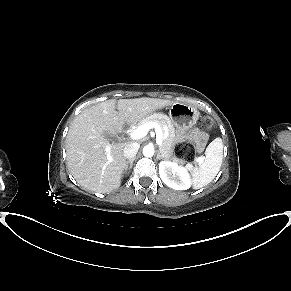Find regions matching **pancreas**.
<instances>
[{
    "instance_id": "1",
    "label": "pancreas",
    "mask_w": 291,
    "mask_h": 291,
    "mask_svg": "<svg viewBox=\"0 0 291 291\" xmlns=\"http://www.w3.org/2000/svg\"><path fill=\"white\" fill-rule=\"evenodd\" d=\"M148 122H155L162 129L167 127L168 135H167V137H164L163 142L160 145V151L166 159H171L174 162H177L179 164H184L185 161L178 159L175 156H172V148L171 147H172L174 140H175V129H174V126H173L171 120L169 119V117L162 115V114H157V113L151 114V115L141 119L140 121H138L136 124H134L132 126V128L135 130L139 126L143 125L144 123H148ZM163 133H164V131H163Z\"/></svg>"
}]
</instances>
